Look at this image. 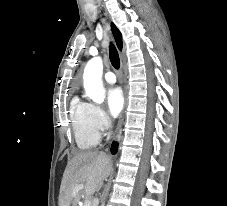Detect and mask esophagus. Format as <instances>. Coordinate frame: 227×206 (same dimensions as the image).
<instances>
[{"label":"esophagus","mask_w":227,"mask_h":206,"mask_svg":"<svg viewBox=\"0 0 227 206\" xmlns=\"http://www.w3.org/2000/svg\"><path fill=\"white\" fill-rule=\"evenodd\" d=\"M121 73H123V64H121ZM127 105V92L126 90L124 91V110L120 116V120H119V125H118V130H117V139L120 138V134H121V127H122V124H123V120H124V112H125V107Z\"/></svg>","instance_id":"34e87169"}]
</instances>
